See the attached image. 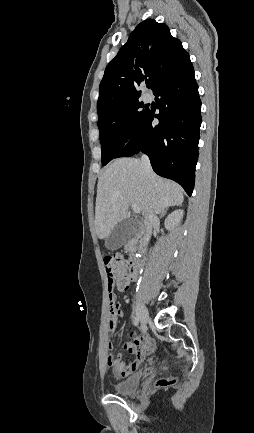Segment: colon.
Wrapping results in <instances>:
<instances>
[{
	"label": "colon",
	"instance_id": "5ec220e1",
	"mask_svg": "<svg viewBox=\"0 0 254 433\" xmlns=\"http://www.w3.org/2000/svg\"><path fill=\"white\" fill-rule=\"evenodd\" d=\"M104 268L107 274L108 287L111 291L114 285H125L129 282L130 265L126 258L119 254L107 255L104 257ZM172 381L167 379L159 380L157 385L164 386Z\"/></svg>",
	"mask_w": 254,
	"mask_h": 433
}]
</instances>
